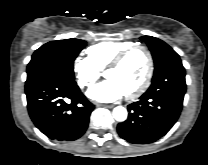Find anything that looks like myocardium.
Wrapping results in <instances>:
<instances>
[{"label":"myocardium","instance_id":"f54148a6","mask_svg":"<svg viewBox=\"0 0 208 165\" xmlns=\"http://www.w3.org/2000/svg\"><path fill=\"white\" fill-rule=\"evenodd\" d=\"M137 50H141L146 54L147 61H148V67H147L146 75H145L143 81L141 82V84L137 88H135L134 90L125 94V96L128 99H133V98H136V97L140 96L141 94H143L148 89V87L151 83L153 73H154V59H153V55H152L150 49L144 45H141V44H134V45L122 50L120 53H118L109 62V64L106 66V70H105V72H106L110 69H115V68L119 67L131 53H133L134 51H137Z\"/></svg>","mask_w":208,"mask_h":165}]
</instances>
